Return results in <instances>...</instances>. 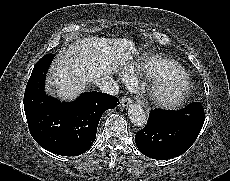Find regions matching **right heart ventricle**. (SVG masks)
Listing matches in <instances>:
<instances>
[{"label":"right heart ventricle","instance_id":"right-heart-ventricle-1","mask_svg":"<svg viewBox=\"0 0 230 181\" xmlns=\"http://www.w3.org/2000/svg\"><path fill=\"white\" fill-rule=\"evenodd\" d=\"M182 71L183 69L176 62L159 55H153L134 66H130L126 70V74L130 78L144 76L149 80H154L166 74Z\"/></svg>","mask_w":230,"mask_h":181}]
</instances>
